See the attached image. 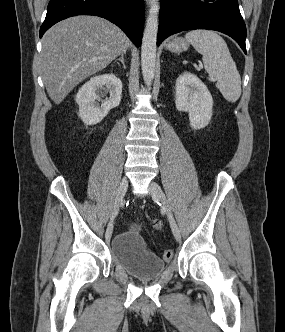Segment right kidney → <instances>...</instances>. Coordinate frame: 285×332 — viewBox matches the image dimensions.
<instances>
[{"label": "right kidney", "instance_id": "ca27d5eb", "mask_svg": "<svg viewBox=\"0 0 285 332\" xmlns=\"http://www.w3.org/2000/svg\"><path fill=\"white\" fill-rule=\"evenodd\" d=\"M107 93L109 98L101 101L98 106L96 100ZM122 95V82L113 73L103 74L91 78L85 83L76 95V103L79 105V117L86 125H95L103 120L109 111L120 104Z\"/></svg>", "mask_w": 285, "mask_h": 332}]
</instances>
